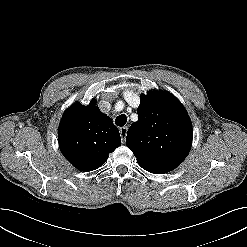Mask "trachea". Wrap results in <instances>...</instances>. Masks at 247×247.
Masks as SVG:
<instances>
[{
  "label": "trachea",
  "mask_w": 247,
  "mask_h": 247,
  "mask_svg": "<svg viewBox=\"0 0 247 247\" xmlns=\"http://www.w3.org/2000/svg\"><path fill=\"white\" fill-rule=\"evenodd\" d=\"M126 122H127V117L124 114L117 116L115 119V123L118 126H124L126 124Z\"/></svg>",
  "instance_id": "3493384b"
}]
</instances>
